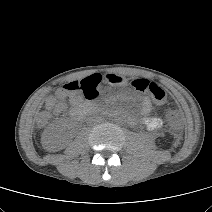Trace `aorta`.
I'll use <instances>...</instances> for the list:
<instances>
[{"label":"aorta","instance_id":"obj_1","mask_svg":"<svg viewBox=\"0 0 212 212\" xmlns=\"http://www.w3.org/2000/svg\"><path fill=\"white\" fill-rule=\"evenodd\" d=\"M116 120H117V121H120V117H116Z\"/></svg>","mask_w":212,"mask_h":212}]
</instances>
